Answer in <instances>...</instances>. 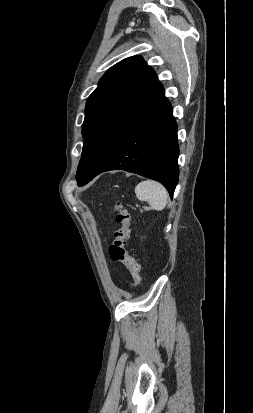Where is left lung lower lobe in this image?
Masks as SVG:
<instances>
[{"instance_id":"left-lung-lower-lobe-1","label":"left lung lower lobe","mask_w":253,"mask_h":413,"mask_svg":"<svg viewBox=\"0 0 253 413\" xmlns=\"http://www.w3.org/2000/svg\"><path fill=\"white\" fill-rule=\"evenodd\" d=\"M178 155L177 125L164 95L99 170L79 186L102 172L125 170L162 183L173 197L179 177Z\"/></svg>"}]
</instances>
